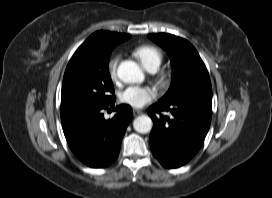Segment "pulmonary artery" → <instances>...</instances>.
Listing matches in <instances>:
<instances>
[{"label":"pulmonary artery","instance_id":"e3ab8cb5","mask_svg":"<svg viewBox=\"0 0 272 198\" xmlns=\"http://www.w3.org/2000/svg\"><path fill=\"white\" fill-rule=\"evenodd\" d=\"M149 71H150V72H155V71H156V69H150Z\"/></svg>","mask_w":272,"mask_h":198}]
</instances>
